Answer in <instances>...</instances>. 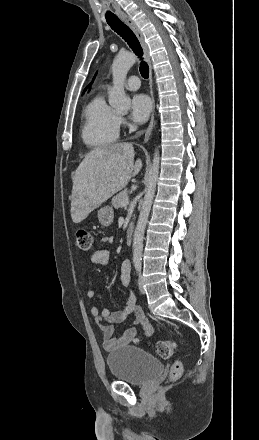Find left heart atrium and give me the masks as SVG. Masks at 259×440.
<instances>
[{"label":"left heart atrium","mask_w":259,"mask_h":440,"mask_svg":"<svg viewBox=\"0 0 259 440\" xmlns=\"http://www.w3.org/2000/svg\"><path fill=\"white\" fill-rule=\"evenodd\" d=\"M152 110V101L145 94H136L131 99V118L134 122H145Z\"/></svg>","instance_id":"left-heart-atrium-1"}]
</instances>
